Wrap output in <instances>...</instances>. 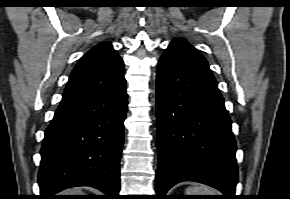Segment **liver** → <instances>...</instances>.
<instances>
[{
	"label": "liver",
	"instance_id": "6515ba94",
	"mask_svg": "<svg viewBox=\"0 0 290 199\" xmlns=\"http://www.w3.org/2000/svg\"><path fill=\"white\" fill-rule=\"evenodd\" d=\"M66 193H83V192L79 188H74V189L67 190ZM79 195H82V194H79Z\"/></svg>",
	"mask_w": 290,
	"mask_h": 199
}]
</instances>
